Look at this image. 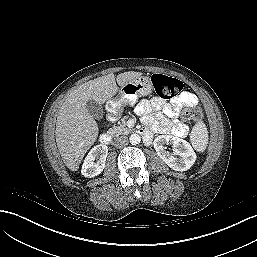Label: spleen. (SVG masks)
Listing matches in <instances>:
<instances>
[{
  "label": "spleen",
  "instance_id": "obj_1",
  "mask_svg": "<svg viewBox=\"0 0 257 257\" xmlns=\"http://www.w3.org/2000/svg\"><path fill=\"white\" fill-rule=\"evenodd\" d=\"M190 141L192 146L198 152H204L208 144V131L206 125L199 121L197 122L190 134Z\"/></svg>",
  "mask_w": 257,
  "mask_h": 257
}]
</instances>
